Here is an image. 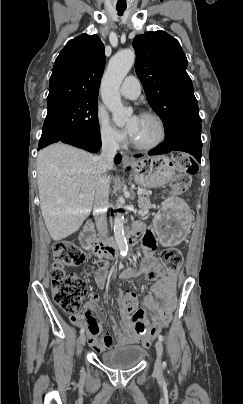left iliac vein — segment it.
Instances as JSON below:
<instances>
[{
    "instance_id": "4c4485c4",
    "label": "left iliac vein",
    "mask_w": 243,
    "mask_h": 404,
    "mask_svg": "<svg viewBox=\"0 0 243 404\" xmlns=\"http://www.w3.org/2000/svg\"><path fill=\"white\" fill-rule=\"evenodd\" d=\"M155 347H156V353H157V358L155 361V372L156 373H160L161 368H162V354H163V345L162 342L160 340H158L155 343Z\"/></svg>"
}]
</instances>
